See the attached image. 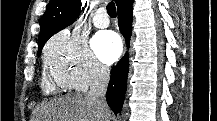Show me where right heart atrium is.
<instances>
[{"instance_id": "right-heart-atrium-1", "label": "right heart atrium", "mask_w": 217, "mask_h": 121, "mask_svg": "<svg viewBox=\"0 0 217 121\" xmlns=\"http://www.w3.org/2000/svg\"><path fill=\"white\" fill-rule=\"evenodd\" d=\"M44 61L54 81L76 91H85L109 77L108 69L95 58L86 40L70 31H61L47 42Z\"/></svg>"}]
</instances>
